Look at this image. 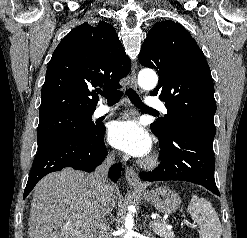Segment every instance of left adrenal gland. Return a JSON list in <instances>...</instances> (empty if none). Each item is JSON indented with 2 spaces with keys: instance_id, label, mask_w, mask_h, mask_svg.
Listing matches in <instances>:
<instances>
[{
  "instance_id": "obj_1",
  "label": "left adrenal gland",
  "mask_w": 247,
  "mask_h": 238,
  "mask_svg": "<svg viewBox=\"0 0 247 238\" xmlns=\"http://www.w3.org/2000/svg\"><path fill=\"white\" fill-rule=\"evenodd\" d=\"M147 232V231H146ZM148 235L150 236V238H155L152 234L148 233Z\"/></svg>"
}]
</instances>
